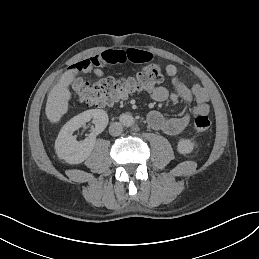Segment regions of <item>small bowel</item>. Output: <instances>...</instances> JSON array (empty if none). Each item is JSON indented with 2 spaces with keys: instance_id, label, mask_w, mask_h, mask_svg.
<instances>
[{
  "instance_id": "c3829d8e",
  "label": "small bowel",
  "mask_w": 259,
  "mask_h": 259,
  "mask_svg": "<svg viewBox=\"0 0 259 259\" xmlns=\"http://www.w3.org/2000/svg\"><path fill=\"white\" fill-rule=\"evenodd\" d=\"M152 60V54L138 49L108 50L93 57L83 59L72 66L74 70L93 73L97 77H103L101 69L108 64H122L126 62L146 63ZM167 77L173 86V91H169L163 86H158L150 91L152 99L158 102L170 99L173 102L182 100L195 105L190 107L184 114L178 117L168 118L161 112L152 110L147 115L149 126L167 135H177L189 124L192 117L197 115H207L209 113V95L205 88L196 84L188 86L178 77L177 68L169 64L165 68Z\"/></svg>"
}]
</instances>
